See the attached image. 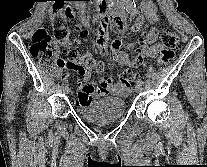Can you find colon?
Returning <instances> with one entry per match:
<instances>
[{
  "label": "colon",
  "mask_w": 207,
  "mask_h": 167,
  "mask_svg": "<svg viewBox=\"0 0 207 167\" xmlns=\"http://www.w3.org/2000/svg\"><path fill=\"white\" fill-rule=\"evenodd\" d=\"M73 18V10L71 7H62L58 5L53 8L52 22L55 30V38H52L44 28H38L32 35L30 54L37 59L41 68L52 70L57 66H61L64 62L60 59L56 41L67 46L65 64L73 68L101 69L100 63L96 62L88 55H82L73 44L76 39L71 30V21ZM118 44H121L118 42ZM161 53L156 61V65L162 68L169 64L174 58V50L179 45L178 36L170 31L164 30L161 33ZM137 73L130 69H123L120 73V82L126 88H130Z\"/></svg>",
  "instance_id": "1"
}]
</instances>
